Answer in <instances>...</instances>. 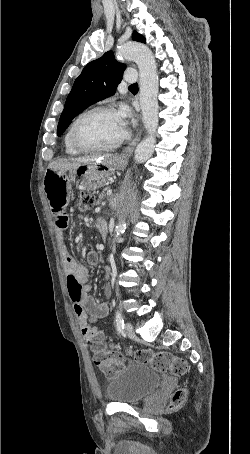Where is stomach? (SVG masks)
<instances>
[{
    "label": "stomach",
    "instance_id": "obj_1",
    "mask_svg": "<svg viewBox=\"0 0 250 454\" xmlns=\"http://www.w3.org/2000/svg\"><path fill=\"white\" fill-rule=\"evenodd\" d=\"M127 160L119 156L102 158L90 163H81L77 166L64 162H55L49 165L44 176H76L87 189H97L104 186L115 170H122ZM43 186L44 180H43ZM49 201V198H48ZM54 209V208H52Z\"/></svg>",
    "mask_w": 250,
    "mask_h": 454
}]
</instances>
